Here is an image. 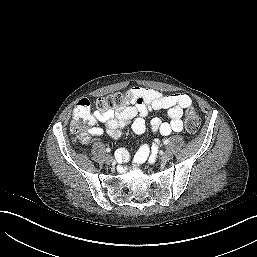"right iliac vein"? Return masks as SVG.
<instances>
[{
	"instance_id": "63e3f726",
	"label": "right iliac vein",
	"mask_w": 257,
	"mask_h": 257,
	"mask_svg": "<svg viewBox=\"0 0 257 257\" xmlns=\"http://www.w3.org/2000/svg\"><path fill=\"white\" fill-rule=\"evenodd\" d=\"M105 162L107 164H111L113 162V157L111 155H106L105 156Z\"/></svg>"
}]
</instances>
